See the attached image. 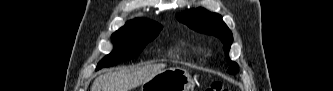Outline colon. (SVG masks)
<instances>
[{"mask_svg": "<svg viewBox=\"0 0 333 91\" xmlns=\"http://www.w3.org/2000/svg\"><path fill=\"white\" fill-rule=\"evenodd\" d=\"M205 91H224L223 84L221 82H213L205 88Z\"/></svg>", "mask_w": 333, "mask_h": 91, "instance_id": "5ec220e1", "label": "colon"}]
</instances>
